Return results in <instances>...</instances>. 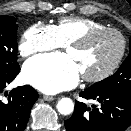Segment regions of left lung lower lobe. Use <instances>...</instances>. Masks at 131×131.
Masks as SVG:
<instances>
[{"instance_id": "left-lung-lower-lobe-1", "label": "left lung lower lobe", "mask_w": 131, "mask_h": 131, "mask_svg": "<svg viewBox=\"0 0 131 131\" xmlns=\"http://www.w3.org/2000/svg\"><path fill=\"white\" fill-rule=\"evenodd\" d=\"M80 96L97 100L99 106L90 108L76 101L73 115L64 121L67 131H125L131 125V96L90 88Z\"/></svg>"}]
</instances>
